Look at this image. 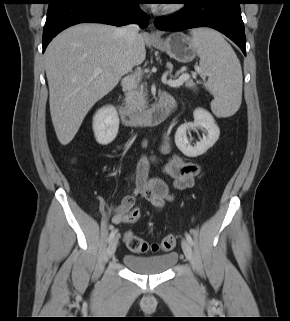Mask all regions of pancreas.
Returning a JSON list of instances; mask_svg holds the SVG:
<instances>
[{"label":"pancreas","instance_id":"obj_1","mask_svg":"<svg viewBox=\"0 0 290 321\" xmlns=\"http://www.w3.org/2000/svg\"><path fill=\"white\" fill-rule=\"evenodd\" d=\"M185 86L194 88L195 83L192 79L185 81ZM147 89L143 85L132 84L128 91L125 93V105L128 109L137 112L147 107Z\"/></svg>","mask_w":290,"mask_h":321}]
</instances>
